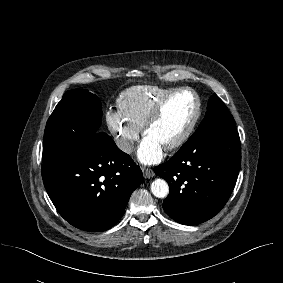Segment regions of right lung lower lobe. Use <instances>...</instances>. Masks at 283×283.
I'll use <instances>...</instances> for the list:
<instances>
[{
  "mask_svg": "<svg viewBox=\"0 0 283 283\" xmlns=\"http://www.w3.org/2000/svg\"><path fill=\"white\" fill-rule=\"evenodd\" d=\"M93 140L43 165L42 178L66 221L84 231L101 232L121 218L142 171L107 134Z\"/></svg>",
  "mask_w": 283,
  "mask_h": 283,
  "instance_id": "98d812e1",
  "label": "right lung lower lobe"
}]
</instances>
